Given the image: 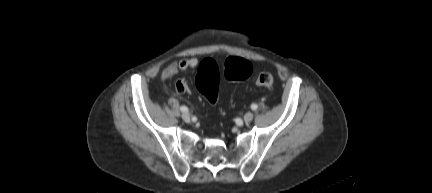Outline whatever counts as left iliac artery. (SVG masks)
I'll return each mask as SVG.
<instances>
[{
    "mask_svg": "<svg viewBox=\"0 0 432 193\" xmlns=\"http://www.w3.org/2000/svg\"><path fill=\"white\" fill-rule=\"evenodd\" d=\"M257 108H258V106H257L256 104H252V105H251V109H252V110H256Z\"/></svg>",
    "mask_w": 432,
    "mask_h": 193,
    "instance_id": "left-iliac-artery-1",
    "label": "left iliac artery"
}]
</instances>
